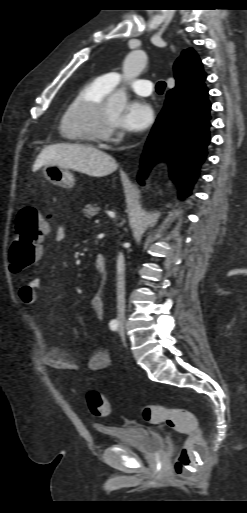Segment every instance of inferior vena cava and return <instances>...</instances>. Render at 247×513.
I'll use <instances>...</instances> for the list:
<instances>
[{"instance_id": "1", "label": "inferior vena cava", "mask_w": 247, "mask_h": 513, "mask_svg": "<svg viewBox=\"0 0 247 513\" xmlns=\"http://www.w3.org/2000/svg\"><path fill=\"white\" fill-rule=\"evenodd\" d=\"M125 312V276H124V257L120 253L117 259V317L124 318Z\"/></svg>"}]
</instances>
